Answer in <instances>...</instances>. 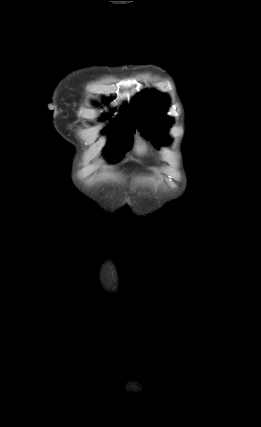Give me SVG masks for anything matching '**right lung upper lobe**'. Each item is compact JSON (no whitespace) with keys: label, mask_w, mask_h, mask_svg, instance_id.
<instances>
[{"label":"right lung upper lobe","mask_w":261,"mask_h":427,"mask_svg":"<svg viewBox=\"0 0 261 427\" xmlns=\"http://www.w3.org/2000/svg\"><path fill=\"white\" fill-rule=\"evenodd\" d=\"M112 123H129L133 125L132 117L128 106L123 107L120 117L115 119Z\"/></svg>","instance_id":"obj_1"}]
</instances>
